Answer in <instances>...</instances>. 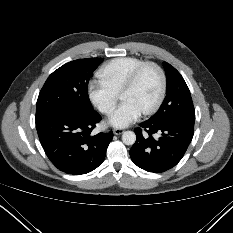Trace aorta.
<instances>
[{
    "label": "aorta",
    "mask_w": 233,
    "mask_h": 233,
    "mask_svg": "<svg viewBox=\"0 0 233 233\" xmlns=\"http://www.w3.org/2000/svg\"><path fill=\"white\" fill-rule=\"evenodd\" d=\"M122 141L125 145H133L136 141V135L133 131H125L122 134Z\"/></svg>",
    "instance_id": "1"
}]
</instances>
